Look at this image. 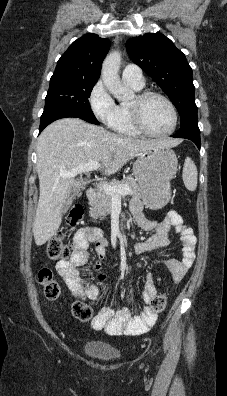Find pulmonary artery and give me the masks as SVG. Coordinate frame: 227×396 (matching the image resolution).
I'll use <instances>...</instances> for the list:
<instances>
[{
	"label": "pulmonary artery",
	"mask_w": 227,
	"mask_h": 396,
	"mask_svg": "<svg viewBox=\"0 0 227 396\" xmlns=\"http://www.w3.org/2000/svg\"><path fill=\"white\" fill-rule=\"evenodd\" d=\"M122 78L125 82L135 84L137 86L144 85V76L139 66L135 64H127L122 71Z\"/></svg>",
	"instance_id": "obj_1"
}]
</instances>
